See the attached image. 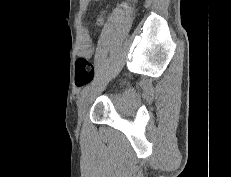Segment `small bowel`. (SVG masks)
<instances>
[{"label": "small bowel", "instance_id": "c3829d8e", "mask_svg": "<svg viewBox=\"0 0 231 177\" xmlns=\"http://www.w3.org/2000/svg\"><path fill=\"white\" fill-rule=\"evenodd\" d=\"M91 1L92 0H87L88 3H90ZM103 22H104V18L103 16H100L97 19V23L102 24ZM83 37H84V44L80 46L79 50L86 57H91L94 53V45L91 42L89 38V34L86 30L83 31Z\"/></svg>", "mask_w": 231, "mask_h": 177}]
</instances>
